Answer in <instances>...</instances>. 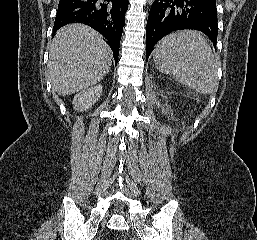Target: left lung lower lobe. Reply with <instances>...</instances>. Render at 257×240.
<instances>
[{
  "label": "left lung lower lobe",
  "mask_w": 257,
  "mask_h": 240,
  "mask_svg": "<svg viewBox=\"0 0 257 240\" xmlns=\"http://www.w3.org/2000/svg\"><path fill=\"white\" fill-rule=\"evenodd\" d=\"M185 29L203 32L216 48V0H154L146 26V59L165 35Z\"/></svg>",
  "instance_id": "obj_1"
}]
</instances>
